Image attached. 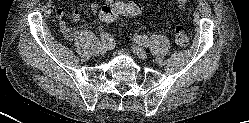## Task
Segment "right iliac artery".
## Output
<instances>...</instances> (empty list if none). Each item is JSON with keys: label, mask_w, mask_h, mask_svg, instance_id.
<instances>
[{"label": "right iliac artery", "mask_w": 249, "mask_h": 123, "mask_svg": "<svg viewBox=\"0 0 249 123\" xmlns=\"http://www.w3.org/2000/svg\"><path fill=\"white\" fill-rule=\"evenodd\" d=\"M101 40L103 43H110L112 41V38H111L110 34H108L107 32H102L101 33Z\"/></svg>", "instance_id": "82829eb1"}]
</instances>
